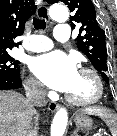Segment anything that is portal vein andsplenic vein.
I'll return each mask as SVG.
<instances>
[{"mask_svg": "<svg viewBox=\"0 0 117 136\" xmlns=\"http://www.w3.org/2000/svg\"><path fill=\"white\" fill-rule=\"evenodd\" d=\"M94 136H102L101 132H97Z\"/></svg>", "mask_w": 117, "mask_h": 136, "instance_id": "18ae733b", "label": "portal vein and splenic vein"}]
</instances>
